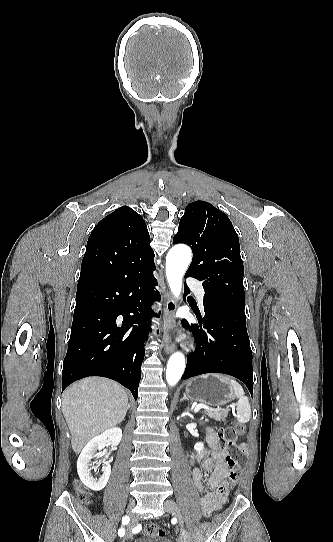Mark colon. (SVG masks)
Wrapping results in <instances>:
<instances>
[{
  "mask_svg": "<svg viewBox=\"0 0 333 542\" xmlns=\"http://www.w3.org/2000/svg\"><path fill=\"white\" fill-rule=\"evenodd\" d=\"M226 428H218L216 431L217 444L223 449L233 447V444L245 433V426L241 423L226 424ZM244 452L242 449H233L231 455L226 457V464L230 469L229 482L221 485L219 493L227 496L231 488L234 487L242 472V459ZM82 501H88L89 496L81 491L78 492ZM143 535L147 538H162L163 529L156 523H148L143 529Z\"/></svg>",
  "mask_w": 333,
  "mask_h": 542,
  "instance_id": "colon-1",
  "label": "colon"
}]
</instances>
